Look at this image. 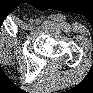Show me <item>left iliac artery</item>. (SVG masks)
I'll list each match as a JSON object with an SVG mask.
<instances>
[{
    "mask_svg": "<svg viewBox=\"0 0 93 93\" xmlns=\"http://www.w3.org/2000/svg\"><path fill=\"white\" fill-rule=\"evenodd\" d=\"M35 23L36 24H40L41 23V20L40 19H36Z\"/></svg>",
    "mask_w": 93,
    "mask_h": 93,
    "instance_id": "44dca946",
    "label": "left iliac artery"
}]
</instances>
